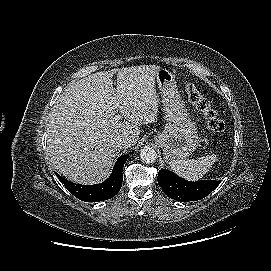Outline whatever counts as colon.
<instances>
[{"label":"colon","instance_id":"colon-1","mask_svg":"<svg viewBox=\"0 0 271 271\" xmlns=\"http://www.w3.org/2000/svg\"><path fill=\"white\" fill-rule=\"evenodd\" d=\"M186 92L189 100L203 113L208 129L213 133L224 132V121L218 116L210 101L201 94L196 85L189 83L186 86Z\"/></svg>","mask_w":271,"mask_h":271}]
</instances>
